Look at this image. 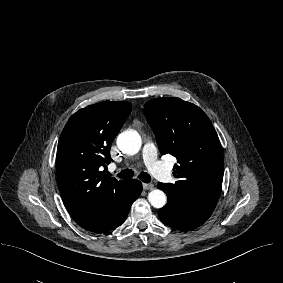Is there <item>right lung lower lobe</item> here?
<instances>
[{"label":"right lung lower lobe","mask_w":283,"mask_h":283,"mask_svg":"<svg viewBox=\"0 0 283 283\" xmlns=\"http://www.w3.org/2000/svg\"><path fill=\"white\" fill-rule=\"evenodd\" d=\"M130 182V191L124 197L123 201L119 204L116 210L102 222L98 223L95 226L86 228L87 230L95 233H103L118 227L125 221L132 203L142 192L141 182H139L138 180H130Z\"/></svg>","instance_id":"98d812e1"}]
</instances>
